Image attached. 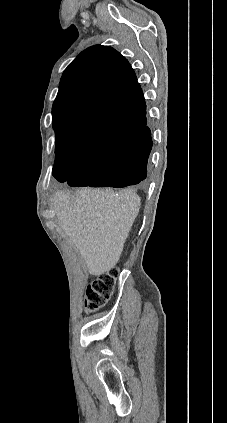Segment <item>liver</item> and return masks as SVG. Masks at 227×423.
Segmentation results:
<instances>
[{
  "label": "liver",
  "instance_id": "obj_1",
  "mask_svg": "<svg viewBox=\"0 0 227 423\" xmlns=\"http://www.w3.org/2000/svg\"><path fill=\"white\" fill-rule=\"evenodd\" d=\"M53 204L59 231L79 249L90 275H101L119 261L141 200L135 192L82 188L74 196L58 192Z\"/></svg>",
  "mask_w": 227,
  "mask_h": 423
}]
</instances>
